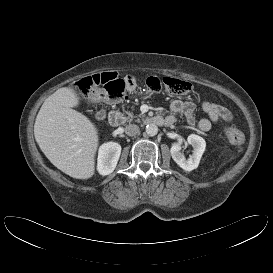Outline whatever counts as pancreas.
Here are the masks:
<instances>
[{
  "mask_svg": "<svg viewBox=\"0 0 273 273\" xmlns=\"http://www.w3.org/2000/svg\"><path fill=\"white\" fill-rule=\"evenodd\" d=\"M126 114V115H124ZM124 114L122 115V120L123 122H132L134 120V118H136V116H134L133 112H128V111H125ZM141 117H144V116H141L139 115L136 119V121H139Z\"/></svg>",
  "mask_w": 273,
  "mask_h": 273,
  "instance_id": "cf45deb5",
  "label": "pancreas"
}]
</instances>
